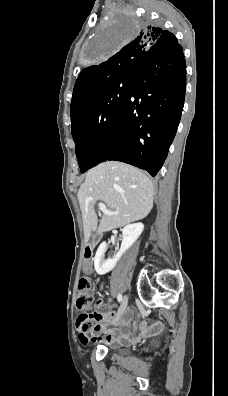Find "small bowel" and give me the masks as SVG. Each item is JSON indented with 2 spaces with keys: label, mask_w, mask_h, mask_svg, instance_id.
Here are the masks:
<instances>
[{
  "label": "small bowel",
  "mask_w": 228,
  "mask_h": 396,
  "mask_svg": "<svg viewBox=\"0 0 228 396\" xmlns=\"http://www.w3.org/2000/svg\"><path fill=\"white\" fill-rule=\"evenodd\" d=\"M86 270L90 271L91 266L86 265ZM116 312L113 307L100 304L99 311L96 316V324L92 330L88 333L79 332V341L81 344L86 345L89 342L99 343L104 341L109 345H116L120 343H131L136 342L142 337H144L148 328L145 324H141L138 328L136 325H132V320L134 317L133 311L128 310L126 314L116 320ZM115 325L113 329H107V326ZM104 332L106 334L104 340L99 336L100 333Z\"/></svg>",
  "instance_id": "obj_1"
}]
</instances>
